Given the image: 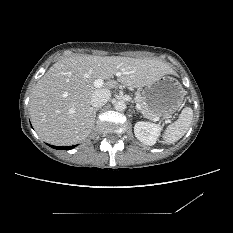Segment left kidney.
<instances>
[{"label":"left kidney","mask_w":233,"mask_h":233,"mask_svg":"<svg viewBox=\"0 0 233 233\" xmlns=\"http://www.w3.org/2000/svg\"><path fill=\"white\" fill-rule=\"evenodd\" d=\"M162 127L155 123L139 121L134 126L136 138L146 145H154L160 135Z\"/></svg>","instance_id":"left-kidney-1"}]
</instances>
